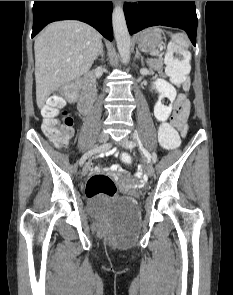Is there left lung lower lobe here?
<instances>
[{
	"instance_id": "0a47b994",
	"label": "left lung lower lobe",
	"mask_w": 233,
	"mask_h": 295,
	"mask_svg": "<svg viewBox=\"0 0 233 295\" xmlns=\"http://www.w3.org/2000/svg\"><path fill=\"white\" fill-rule=\"evenodd\" d=\"M124 13L131 35L150 26H170L185 30L196 46L197 15L194 1L125 3Z\"/></svg>"
}]
</instances>
